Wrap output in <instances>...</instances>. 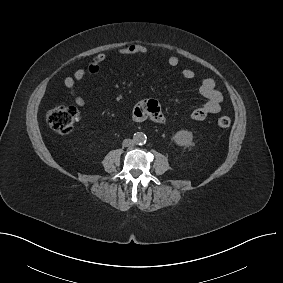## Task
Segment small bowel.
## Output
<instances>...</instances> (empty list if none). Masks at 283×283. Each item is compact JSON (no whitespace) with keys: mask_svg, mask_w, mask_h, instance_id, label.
<instances>
[{"mask_svg":"<svg viewBox=\"0 0 283 283\" xmlns=\"http://www.w3.org/2000/svg\"><path fill=\"white\" fill-rule=\"evenodd\" d=\"M148 49L142 44H130L119 50L121 56L142 55L147 53ZM107 56L104 53L98 54L88 66V72L91 74H98L101 70L102 64L106 61ZM167 63L170 67H177L179 59L176 56H169ZM182 77L186 80H192L195 77V73L192 69L185 68L181 72ZM86 76V70L83 68L77 69L72 76H67L64 79V86L74 98V102L79 107L85 105L83 97L78 95L75 91V85L77 82L82 81ZM199 92L204 98V102L201 106L195 108L190 113V118L194 121H202L207 116L217 114L221 110V104L223 101L222 93L216 88L215 82L211 78H204L199 83ZM133 120L136 122H142L150 119L156 123H164L165 117L161 111L159 103L154 99H148L139 102L132 111Z\"/></svg>","mask_w":283,"mask_h":283,"instance_id":"obj_1","label":"small bowel"}]
</instances>
